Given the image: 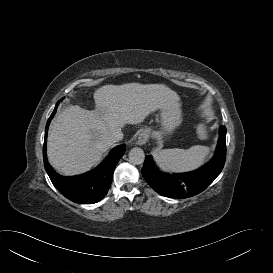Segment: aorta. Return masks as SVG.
Wrapping results in <instances>:
<instances>
[{
	"instance_id": "obj_1",
	"label": "aorta",
	"mask_w": 273,
	"mask_h": 273,
	"mask_svg": "<svg viewBox=\"0 0 273 273\" xmlns=\"http://www.w3.org/2000/svg\"><path fill=\"white\" fill-rule=\"evenodd\" d=\"M129 160L132 164L140 165L145 160L144 151L141 148L135 147L129 152Z\"/></svg>"
}]
</instances>
